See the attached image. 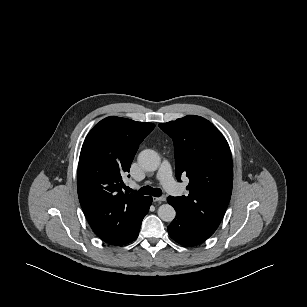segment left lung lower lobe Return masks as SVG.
Instances as JSON below:
<instances>
[{
	"mask_svg": "<svg viewBox=\"0 0 307 307\" xmlns=\"http://www.w3.org/2000/svg\"><path fill=\"white\" fill-rule=\"evenodd\" d=\"M167 201L176 210V217L167 228L173 240L184 246H196L213 234L199 227L186 217V215L174 205L170 197L167 198Z\"/></svg>",
	"mask_w": 307,
	"mask_h": 307,
	"instance_id": "1",
	"label": "left lung lower lobe"
}]
</instances>
